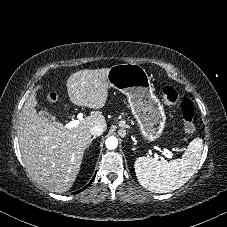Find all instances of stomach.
<instances>
[{
	"instance_id": "stomach-1",
	"label": "stomach",
	"mask_w": 227,
	"mask_h": 227,
	"mask_svg": "<svg viewBox=\"0 0 227 227\" xmlns=\"http://www.w3.org/2000/svg\"><path fill=\"white\" fill-rule=\"evenodd\" d=\"M107 81L109 87L128 97L143 138L149 142L157 140L163 133L166 115L153 93L150 77L145 69L136 63L117 64L109 68Z\"/></svg>"
}]
</instances>
